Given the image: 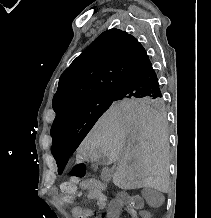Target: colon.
Instances as JSON below:
<instances>
[{
	"instance_id": "colon-1",
	"label": "colon",
	"mask_w": 211,
	"mask_h": 218,
	"mask_svg": "<svg viewBox=\"0 0 211 218\" xmlns=\"http://www.w3.org/2000/svg\"><path fill=\"white\" fill-rule=\"evenodd\" d=\"M86 173L83 164L76 165L71 171V178L60 185V199L67 204L73 203L80 195L78 183Z\"/></svg>"
}]
</instances>
